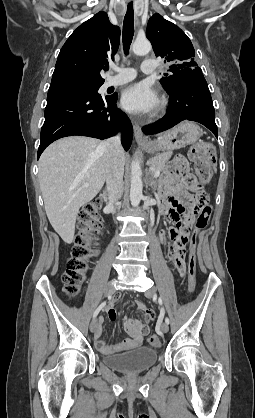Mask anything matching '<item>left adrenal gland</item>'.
<instances>
[{"instance_id":"1","label":"left adrenal gland","mask_w":255,"mask_h":418,"mask_svg":"<svg viewBox=\"0 0 255 418\" xmlns=\"http://www.w3.org/2000/svg\"><path fill=\"white\" fill-rule=\"evenodd\" d=\"M149 185L153 188V190H155V183L153 181H150Z\"/></svg>"}]
</instances>
